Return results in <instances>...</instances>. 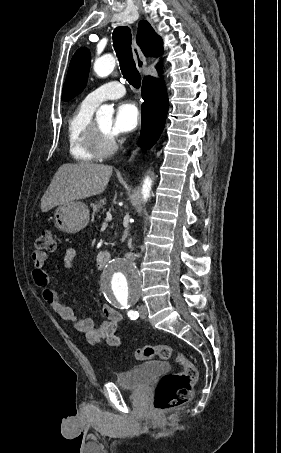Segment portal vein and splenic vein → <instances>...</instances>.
<instances>
[{"instance_id": "1", "label": "portal vein and splenic vein", "mask_w": 281, "mask_h": 453, "mask_svg": "<svg viewBox=\"0 0 281 453\" xmlns=\"http://www.w3.org/2000/svg\"><path fill=\"white\" fill-rule=\"evenodd\" d=\"M105 220H112V214H110L109 210H107V212H106Z\"/></svg>"}]
</instances>
